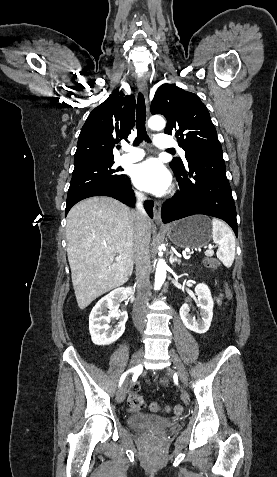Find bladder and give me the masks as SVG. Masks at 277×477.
I'll use <instances>...</instances> for the list:
<instances>
[{"instance_id": "31cf9c89", "label": "bladder", "mask_w": 277, "mask_h": 477, "mask_svg": "<svg viewBox=\"0 0 277 477\" xmlns=\"http://www.w3.org/2000/svg\"><path fill=\"white\" fill-rule=\"evenodd\" d=\"M128 425L136 430H152L170 427L168 419L146 413H133L127 419Z\"/></svg>"}]
</instances>
